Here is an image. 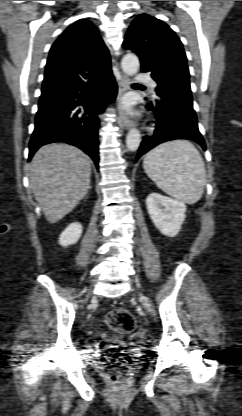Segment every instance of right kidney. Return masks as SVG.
<instances>
[{"mask_svg":"<svg viewBox=\"0 0 242 416\" xmlns=\"http://www.w3.org/2000/svg\"><path fill=\"white\" fill-rule=\"evenodd\" d=\"M82 234V225L78 222L71 223L60 235L59 244L63 247L77 243Z\"/></svg>","mask_w":242,"mask_h":416,"instance_id":"1","label":"right kidney"}]
</instances>
